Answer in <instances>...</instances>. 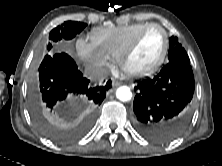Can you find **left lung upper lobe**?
<instances>
[{
	"label": "left lung upper lobe",
	"instance_id": "left-lung-upper-lobe-1",
	"mask_svg": "<svg viewBox=\"0 0 222 166\" xmlns=\"http://www.w3.org/2000/svg\"><path fill=\"white\" fill-rule=\"evenodd\" d=\"M168 59H169V63H171V62H190L185 49L178 42L177 37L172 36L170 38Z\"/></svg>",
	"mask_w": 222,
	"mask_h": 166
}]
</instances>
